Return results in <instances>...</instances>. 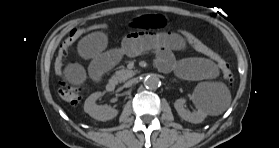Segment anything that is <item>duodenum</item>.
<instances>
[{
	"mask_svg": "<svg viewBox=\"0 0 279 148\" xmlns=\"http://www.w3.org/2000/svg\"><path fill=\"white\" fill-rule=\"evenodd\" d=\"M106 87L109 92H113L117 87V81L114 78L109 79Z\"/></svg>",
	"mask_w": 279,
	"mask_h": 148,
	"instance_id": "410a0bca",
	"label": "duodenum"
}]
</instances>
